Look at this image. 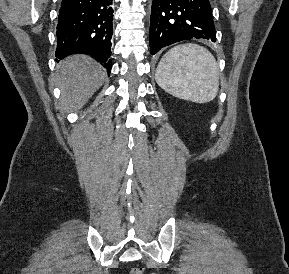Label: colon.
Returning a JSON list of instances; mask_svg holds the SVG:
<instances>
[{
  "mask_svg": "<svg viewBox=\"0 0 289 274\" xmlns=\"http://www.w3.org/2000/svg\"><path fill=\"white\" fill-rule=\"evenodd\" d=\"M130 274H143V268H141V267H133L130 270Z\"/></svg>",
  "mask_w": 289,
  "mask_h": 274,
  "instance_id": "1",
  "label": "colon"
}]
</instances>
